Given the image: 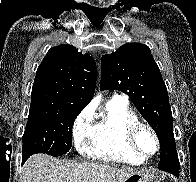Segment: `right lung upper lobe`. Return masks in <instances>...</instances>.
<instances>
[{"label":"right lung upper lobe","instance_id":"cb5924a9","mask_svg":"<svg viewBox=\"0 0 196 182\" xmlns=\"http://www.w3.org/2000/svg\"><path fill=\"white\" fill-rule=\"evenodd\" d=\"M96 64L72 45L51 48L37 69L30 110L69 107L82 110L93 98Z\"/></svg>","mask_w":196,"mask_h":182}]
</instances>
